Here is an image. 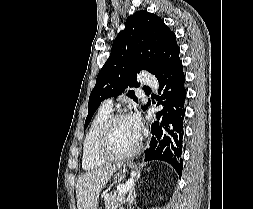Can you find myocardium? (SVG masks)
Here are the masks:
<instances>
[{"mask_svg": "<svg viewBox=\"0 0 253 209\" xmlns=\"http://www.w3.org/2000/svg\"><path fill=\"white\" fill-rule=\"evenodd\" d=\"M123 118H128L125 113L119 112V113L111 114L101 126L97 139H96V143H95V155L99 159L103 161H123V160L131 158L139 151L141 147V143H142V138L140 134H138V138H137V142L135 146L127 153L112 154L106 148L111 127L116 121Z\"/></svg>", "mask_w": 253, "mask_h": 209, "instance_id": "f54148a6", "label": "myocardium"}]
</instances>
